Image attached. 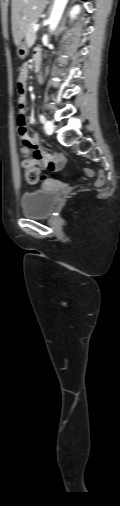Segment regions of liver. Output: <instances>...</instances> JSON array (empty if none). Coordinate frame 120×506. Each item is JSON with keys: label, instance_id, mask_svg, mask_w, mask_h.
I'll return each mask as SVG.
<instances>
[{"label": "liver", "instance_id": "1", "mask_svg": "<svg viewBox=\"0 0 120 506\" xmlns=\"http://www.w3.org/2000/svg\"><path fill=\"white\" fill-rule=\"evenodd\" d=\"M48 0H12V34L15 45L23 39L29 25L44 11Z\"/></svg>", "mask_w": 120, "mask_h": 506}]
</instances>
